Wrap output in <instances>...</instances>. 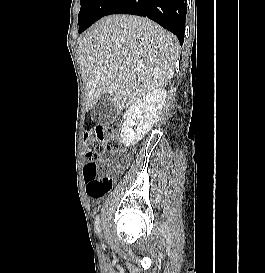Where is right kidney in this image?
<instances>
[{"mask_svg":"<svg viewBox=\"0 0 265 273\" xmlns=\"http://www.w3.org/2000/svg\"><path fill=\"white\" fill-rule=\"evenodd\" d=\"M166 96L164 88L155 89L136 100L126 110L121 129V138L125 146L137 144L151 130L164 106Z\"/></svg>","mask_w":265,"mask_h":273,"instance_id":"right-kidney-1","label":"right kidney"}]
</instances>
